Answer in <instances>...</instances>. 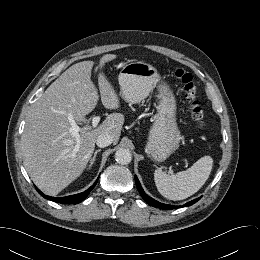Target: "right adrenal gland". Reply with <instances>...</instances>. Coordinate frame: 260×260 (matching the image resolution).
I'll return each mask as SVG.
<instances>
[{
  "instance_id": "2a0ac1e0",
  "label": "right adrenal gland",
  "mask_w": 260,
  "mask_h": 260,
  "mask_svg": "<svg viewBox=\"0 0 260 260\" xmlns=\"http://www.w3.org/2000/svg\"><path fill=\"white\" fill-rule=\"evenodd\" d=\"M100 151H101V150L98 149V150H96V151L94 152V155H93V157H92V159H91V161H90V164H89V169L92 167L93 163L95 162L97 153H99Z\"/></svg>"
}]
</instances>
